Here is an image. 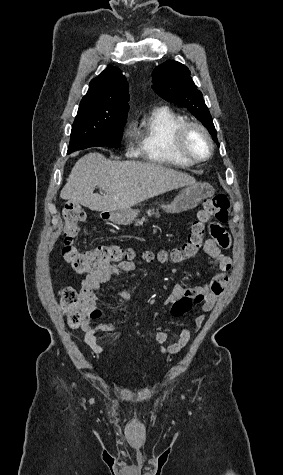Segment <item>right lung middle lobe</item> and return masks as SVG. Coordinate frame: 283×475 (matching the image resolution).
Returning a JSON list of instances; mask_svg holds the SVG:
<instances>
[{
  "label": "right lung middle lobe",
  "mask_w": 283,
  "mask_h": 475,
  "mask_svg": "<svg viewBox=\"0 0 283 475\" xmlns=\"http://www.w3.org/2000/svg\"><path fill=\"white\" fill-rule=\"evenodd\" d=\"M127 111L128 105L80 104L67 152L94 146L120 147Z\"/></svg>",
  "instance_id": "dd1d6c3e"
}]
</instances>
